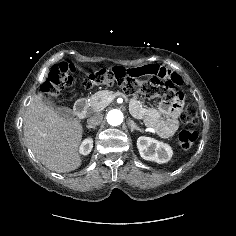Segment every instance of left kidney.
<instances>
[{
  "label": "left kidney",
  "instance_id": "left-kidney-1",
  "mask_svg": "<svg viewBox=\"0 0 236 236\" xmlns=\"http://www.w3.org/2000/svg\"><path fill=\"white\" fill-rule=\"evenodd\" d=\"M137 147L140 156L143 159L154 161L159 164L168 162L173 154V151L168 144L150 137H139L137 139Z\"/></svg>",
  "mask_w": 236,
  "mask_h": 236
}]
</instances>
